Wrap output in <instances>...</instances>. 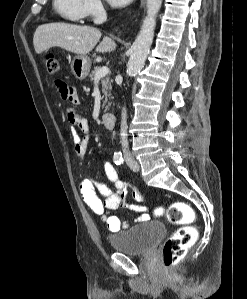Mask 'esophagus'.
<instances>
[{
    "mask_svg": "<svg viewBox=\"0 0 247 299\" xmlns=\"http://www.w3.org/2000/svg\"><path fill=\"white\" fill-rule=\"evenodd\" d=\"M141 2L144 4L146 2V0H141Z\"/></svg>",
    "mask_w": 247,
    "mask_h": 299,
    "instance_id": "34e87169",
    "label": "esophagus"
}]
</instances>
